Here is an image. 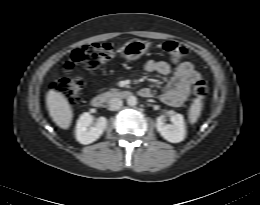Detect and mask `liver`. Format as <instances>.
<instances>
[{
	"mask_svg": "<svg viewBox=\"0 0 260 205\" xmlns=\"http://www.w3.org/2000/svg\"><path fill=\"white\" fill-rule=\"evenodd\" d=\"M46 103L49 115L55 124L62 129H68L72 122L73 112L65 96L61 92L50 90L46 96Z\"/></svg>",
	"mask_w": 260,
	"mask_h": 205,
	"instance_id": "6515ba94",
	"label": "liver"
}]
</instances>
